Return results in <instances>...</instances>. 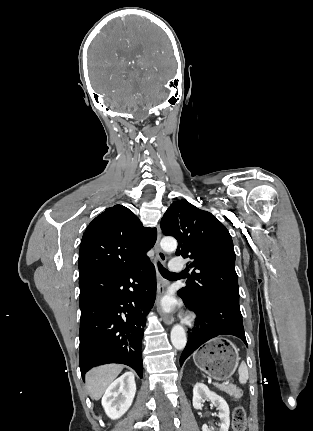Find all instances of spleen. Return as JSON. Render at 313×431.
I'll list each match as a JSON object with an SVG mask.
<instances>
[{
	"label": "spleen",
	"instance_id": "obj_1",
	"mask_svg": "<svg viewBox=\"0 0 313 431\" xmlns=\"http://www.w3.org/2000/svg\"><path fill=\"white\" fill-rule=\"evenodd\" d=\"M238 372H239V382L241 384H245L249 378V374H248V368L244 361L241 362Z\"/></svg>",
	"mask_w": 313,
	"mask_h": 431
}]
</instances>
